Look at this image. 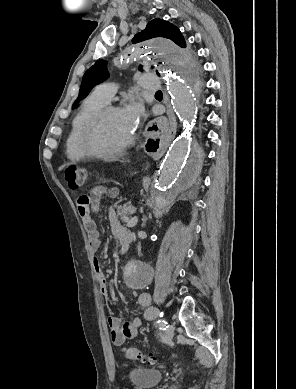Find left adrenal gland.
I'll return each mask as SVG.
<instances>
[{
	"label": "left adrenal gland",
	"instance_id": "1",
	"mask_svg": "<svg viewBox=\"0 0 296 389\" xmlns=\"http://www.w3.org/2000/svg\"><path fill=\"white\" fill-rule=\"evenodd\" d=\"M147 220H148L147 217H146V216H143V219H142V221H143L142 227H145V226H146Z\"/></svg>",
	"mask_w": 296,
	"mask_h": 389
}]
</instances>
